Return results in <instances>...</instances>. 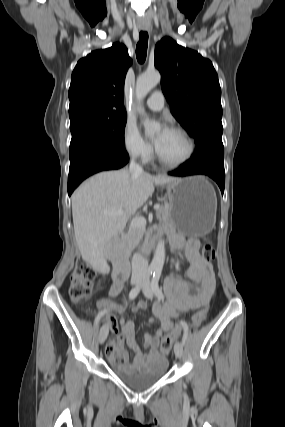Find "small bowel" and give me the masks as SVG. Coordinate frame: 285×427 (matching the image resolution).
Instances as JSON below:
<instances>
[{
    "label": "small bowel",
    "instance_id": "c3829d8e",
    "mask_svg": "<svg viewBox=\"0 0 285 427\" xmlns=\"http://www.w3.org/2000/svg\"><path fill=\"white\" fill-rule=\"evenodd\" d=\"M172 247L175 250L182 251L188 262L186 276L189 279L170 274L164 284L166 302L157 301L152 307L153 317L150 322H158L159 327L152 333H145L143 350L135 337V325L132 321L123 318L117 320L111 313L116 310L123 312L122 306H117L109 300H100L98 308L106 313V321L112 332L117 335L116 340L108 343L106 347L107 355L112 364L124 367L130 371L140 370L149 367H158L166 360L159 353L158 345L160 339L173 328V320L178 318L180 313L198 309L206 305L216 288L215 274L212 264L205 260L199 252L200 243L197 239H183L180 235L171 233ZM113 285L110 288L112 296L118 295L124 285V281L114 277ZM148 303L145 300L139 301L134 307L133 312L146 309ZM118 325L122 328V336L118 335ZM123 339L126 340L128 347L134 352L135 356L132 362H129L128 352L124 349ZM119 356L118 361L116 357Z\"/></svg>",
    "mask_w": 285,
    "mask_h": 427
}]
</instances>
